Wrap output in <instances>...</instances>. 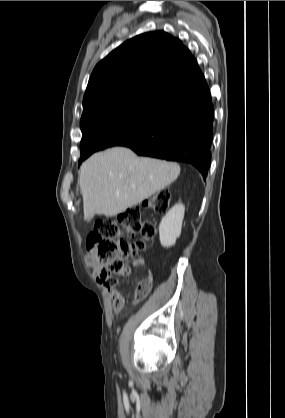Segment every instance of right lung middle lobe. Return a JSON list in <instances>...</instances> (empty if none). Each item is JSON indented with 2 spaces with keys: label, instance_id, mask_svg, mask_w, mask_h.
Returning a JSON list of instances; mask_svg holds the SVG:
<instances>
[{
  "label": "right lung middle lobe",
  "instance_id": "obj_1",
  "mask_svg": "<svg viewBox=\"0 0 285 418\" xmlns=\"http://www.w3.org/2000/svg\"><path fill=\"white\" fill-rule=\"evenodd\" d=\"M168 106L146 100H135L105 106L81 118L80 143L83 162L92 153L117 146L152 124Z\"/></svg>",
  "mask_w": 285,
  "mask_h": 418
}]
</instances>
